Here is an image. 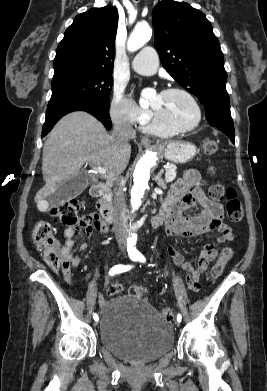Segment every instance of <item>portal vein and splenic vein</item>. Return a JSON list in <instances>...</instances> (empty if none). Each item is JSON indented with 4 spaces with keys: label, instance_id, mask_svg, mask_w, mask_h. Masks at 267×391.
<instances>
[{
    "label": "portal vein and splenic vein",
    "instance_id": "portal-vein-and-splenic-vein-1",
    "mask_svg": "<svg viewBox=\"0 0 267 391\" xmlns=\"http://www.w3.org/2000/svg\"><path fill=\"white\" fill-rule=\"evenodd\" d=\"M92 168H93L95 173H99V174H103V175L107 174V170L105 168H103V167L93 166ZM164 168L167 169L168 166H164Z\"/></svg>",
    "mask_w": 267,
    "mask_h": 391
}]
</instances>
